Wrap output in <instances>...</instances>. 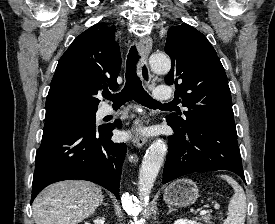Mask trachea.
I'll return each instance as SVG.
<instances>
[{
	"instance_id": "trachea-1",
	"label": "trachea",
	"mask_w": 275,
	"mask_h": 224,
	"mask_svg": "<svg viewBox=\"0 0 275 224\" xmlns=\"http://www.w3.org/2000/svg\"><path fill=\"white\" fill-rule=\"evenodd\" d=\"M139 58L140 56L136 46H132L126 61V83L124 88L118 94L106 93L104 97L110 99L114 106H121L132 99L147 107L169 105L157 102L144 90L141 80L137 75V63Z\"/></svg>"
}]
</instances>
